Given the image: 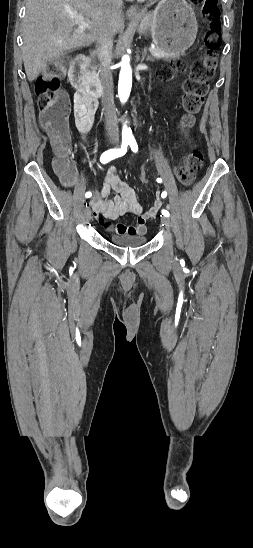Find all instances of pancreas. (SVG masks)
<instances>
[{"instance_id":"pancreas-1","label":"pancreas","mask_w":253,"mask_h":548,"mask_svg":"<svg viewBox=\"0 0 253 548\" xmlns=\"http://www.w3.org/2000/svg\"><path fill=\"white\" fill-rule=\"evenodd\" d=\"M154 59H163V60H170V59H176L179 57V55L168 53L164 50H162L159 47H155L154 50L151 51ZM92 77L97 80L98 79V73L96 72L97 67L93 66L92 68Z\"/></svg>"}]
</instances>
